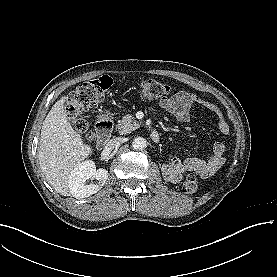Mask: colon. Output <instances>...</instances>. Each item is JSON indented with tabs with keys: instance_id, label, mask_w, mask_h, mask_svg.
<instances>
[{
	"instance_id": "1",
	"label": "colon",
	"mask_w": 277,
	"mask_h": 277,
	"mask_svg": "<svg viewBox=\"0 0 277 277\" xmlns=\"http://www.w3.org/2000/svg\"><path fill=\"white\" fill-rule=\"evenodd\" d=\"M113 81L110 77L103 76L93 81L79 85L68 96L66 111L72 119L74 129L91 138L88 133V123L82 114L90 108H95L105 98L111 89ZM141 93L147 99H163L170 93V87L156 80H146L141 83ZM197 189V181L193 177H188L183 184V192L192 194Z\"/></svg>"
}]
</instances>
